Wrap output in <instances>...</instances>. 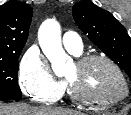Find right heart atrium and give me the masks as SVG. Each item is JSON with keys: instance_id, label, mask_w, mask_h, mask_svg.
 <instances>
[{"instance_id": "d8ad5b80", "label": "right heart atrium", "mask_w": 131, "mask_h": 115, "mask_svg": "<svg viewBox=\"0 0 131 115\" xmlns=\"http://www.w3.org/2000/svg\"><path fill=\"white\" fill-rule=\"evenodd\" d=\"M18 82L28 98L44 104L52 103L63 92V85L54 80L47 63L36 51H28L23 56Z\"/></svg>"}]
</instances>
